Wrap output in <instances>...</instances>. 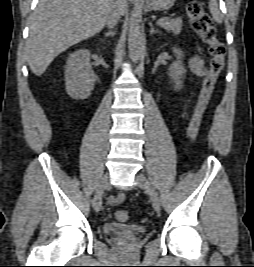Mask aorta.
<instances>
[{"label": "aorta", "mask_w": 254, "mask_h": 267, "mask_svg": "<svg viewBox=\"0 0 254 267\" xmlns=\"http://www.w3.org/2000/svg\"><path fill=\"white\" fill-rule=\"evenodd\" d=\"M128 49L131 60L137 63L143 53L144 39L141 32L140 20L135 15L131 16L129 22Z\"/></svg>", "instance_id": "aorta-1"}]
</instances>
